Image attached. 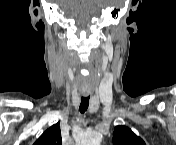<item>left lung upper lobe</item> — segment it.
I'll return each mask as SVG.
<instances>
[{"instance_id": "1", "label": "left lung upper lobe", "mask_w": 176, "mask_h": 145, "mask_svg": "<svg viewBox=\"0 0 176 145\" xmlns=\"http://www.w3.org/2000/svg\"><path fill=\"white\" fill-rule=\"evenodd\" d=\"M114 145H145V142L126 126H116L113 133Z\"/></svg>"}]
</instances>
